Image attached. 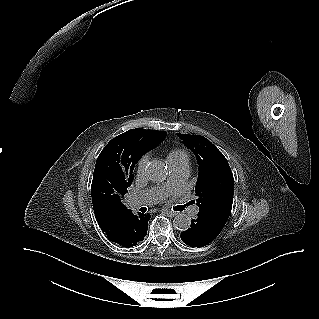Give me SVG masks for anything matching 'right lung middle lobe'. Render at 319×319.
<instances>
[{"instance_id":"obj_1","label":"right lung middle lobe","mask_w":319,"mask_h":319,"mask_svg":"<svg viewBox=\"0 0 319 319\" xmlns=\"http://www.w3.org/2000/svg\"><path fill=\"white\" fill-rule=\"evenodd\" d=\"M140 157L127 145L110 141L96 161L91 185L94 211L122 205Z\"/></svg>"}]
</instances>
